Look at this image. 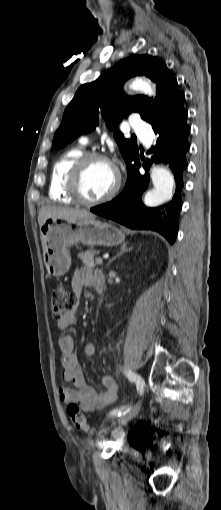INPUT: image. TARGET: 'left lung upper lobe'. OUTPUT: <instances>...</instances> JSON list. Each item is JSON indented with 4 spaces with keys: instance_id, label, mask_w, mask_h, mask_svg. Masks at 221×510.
I'll return each instance as SVG.
<instances>
[{
    "instance_id": "left-lung-upper-lobe-1",
    "label": "left lung upper lobe",
    "mask_w": 221,
    "mask_h": 510,
    "mask_svg": "<svg viewBox=\"0 0 221 510\" xmlns=\"http://www.w3.org/2000/svg\"><path fill=\"white\" fill-rule=\"evenodd\" d=\"M137 75H145L156 84V97L144 95L128 97L122 91L124 82ZM184 94L178 90L177 80L166 64L150 55L128 57L104 76L82 85L64 111L60 127L55 132L52 148H62L79 135L91 132L103 117L107 126L115 130V139L126 162L138 156V147L117 130V123L131 112H137L152 127L174 120L187 113L183 107Z\"/></svg>"
}]
</instances>
